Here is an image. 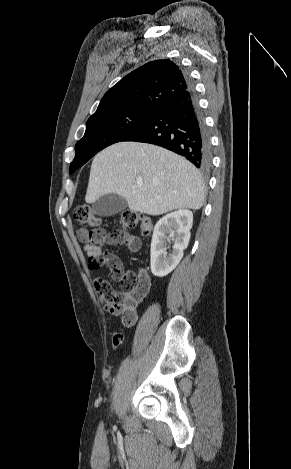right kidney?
Wrapping results in <instances>:
<instances>
[{
  "label": "right kidney",
  "mask_w": 291,
  "mask_h": 469,
  "mask_svg": "<svg viewBox=\"0 0 291 469\" xmlns=\"http://www.w3.org/2000/svg\"><path fill=\"white\" fill-rule=\"evenodd\" d=\"M192 224V212L184 209L169 213L156 223L151 241V272L154 276L164 277L179 264L190 240ZM168 238L174 240L169 255L166 252Z\"/></svg>",
  "instance_id": "obj_1"
}]
</instances>
